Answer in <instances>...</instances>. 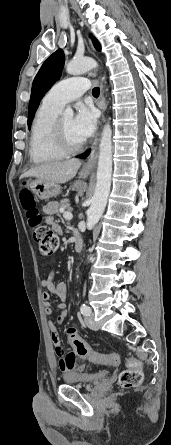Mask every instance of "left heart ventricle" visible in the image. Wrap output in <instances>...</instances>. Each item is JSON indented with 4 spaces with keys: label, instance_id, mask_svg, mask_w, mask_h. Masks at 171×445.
Here are the masks:
<instances>
[{
    "label": "left heart ventricle",
    "instance_id": "b2bd125f",
    "mask_svg": "<svg viewBox=\"0 0 171 445\" xmlns=\"http://www.w3.org/2000/svg\"><path fill=\"white\" fill-rule=\"evenodd\" d=\"M61 124L64 134L70 144H79L83 139L76 133L73 127V119L69 117H62Z\"/></svg>",
    "mask_w": 171,
    "mask_h": 445
}]
</instances>
